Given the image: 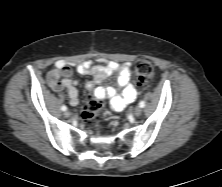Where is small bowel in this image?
I'll list each match as a JSON object with an SVG mask.
<instances>
[{
    "mask_svg": "<svg viewBox=\"0 0 222 187\" xmlns=\"http://www.w3.org/2000/svg\"><path fill=\"white\" fill-rule=\"evenodd\" d=\"M97 62L98 65H94L91 61L82 62L76 66V71L93 76V80L87 82L86 87L94 96L108 100L115 111L123 110L138 96L137 90L131 84L132 65L105 59H98ZM113 73L118 75L117 86H97V83ZM47 82L55 91L66 89L70 104L72 106L78 104L79 92L76 88L78 81L71 79V69L66 62L59 60L55 63V68L47 75Z\"/></svg>",
    "mask_w": 222,
    "mask_h": 187,
    "instance_id": "obj_1",
    "label": "small bowel"
}]
</instances>
